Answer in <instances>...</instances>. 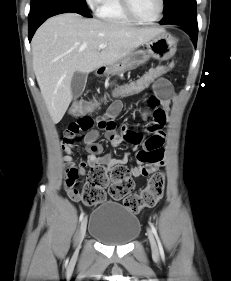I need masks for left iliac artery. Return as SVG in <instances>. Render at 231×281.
<instances>
[{"instance_id": "obj_1", "label": "left iliac artery", "mask_w": 231, "mask_h": 281, "mask_svg": "<svg viewBox=\"0 0 231 281\" xmlns=\"http://www.w3.org/2000/svg\"><path fill=\"white\" fill-rule=\"evenodd\" d=\"M150 226H151V230H152V232H153V234H154V236H155V238H156V240H157L160 253H161V255H163L164 252H163V248H162V244H161V242H160L159 236H158V234H157V230H156L155 226H154L152 223H150Z\"/></svg>"}]
</instances>
